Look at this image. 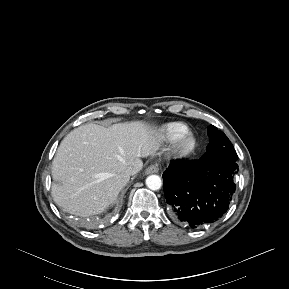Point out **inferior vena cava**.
Wrapping results in <instances>:
<instances>
[{"mask_svg":"<svg viewBox=\"0 0 289 289\" xmlns=\"http://www.w3.org/2000/svg\"><path fill=\"white\" fill-rule=\"evenodd\" d=\"M124 174L128 177H130L131 175L135 174V170L132 167H128L125 171Z\"/></svg>","mask_w":289,"mask_h":289,"instance_id":"inferior-vena-cava-1","label":"inferior vena cava"}]
</instances>
